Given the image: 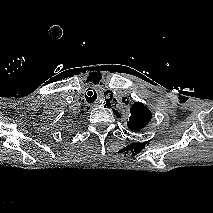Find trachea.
I'll return each instance as SVG.
<instances>
[{"label": "trachea", "mask_w": 213, "mask_h": 213, "mask_svg": "<svg viewBox=\"0 0 213 213\" xmlns=\"http://www.w3.org/2000/svg\"><path fill=\"white\" fill-rule=\"evenodd\" d=\"M93 92L92 91H88V93L86 95V100H87L88 103H93L96 100V98H97L96 92L94 90H93Z\"/></svg>", "instance_id": "obj_1"}]
</instances>
